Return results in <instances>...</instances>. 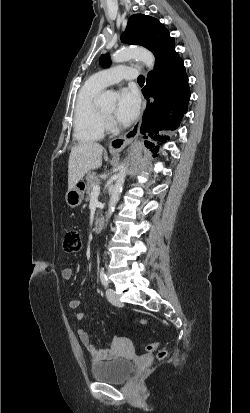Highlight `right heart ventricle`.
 <instances>
[{"label": "right heart ventricle", "instance_id": "obj_1", "mask_svg": "<svg viewBox=\"0 0 250 413\" xmlns=\"http://www.w3.org/2000/svg\"><path fill=\"white\" fill-rule=\"evenodd\" d=\"M103 88L89 79L80 89L74 114L73 135L76 141L87 143L103 138L106 117L96 105L95 98Z\"/></svg>", "mask_w": 250, "mask_h": 413}]
</instances>
